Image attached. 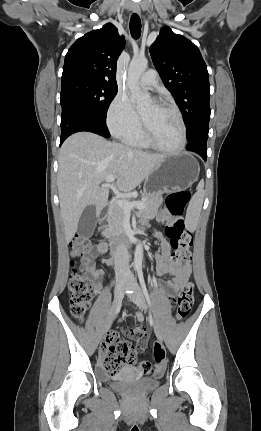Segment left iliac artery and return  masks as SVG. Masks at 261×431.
<instances>
[{
    "label": "left iliac artery",
    "instance_id": "left-iliac-artery-1",
    "mask_svg": "<svg viewBox=\"0 0 261 431\" xmlns=\"http://www.w3.org/2000/svg\"><path fill=\"white\" fill-rule=\"evenodd\" d=\"M137 272H138V277H139V281H140V284H141V287H142L143 294H144V296H145V298H146V300H147V302H148V304H149V306L151 308V301H150V297H149V294H148V291H147V288H146V285H145V281H144L142 269L138 268Z\"/></svg>",
    "mask_w": 261,
    "mask_h": 431
}]
</instances>
